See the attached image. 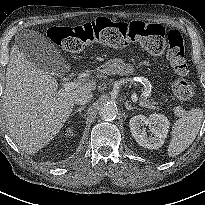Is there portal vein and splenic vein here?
<instances>
[{
	"label": "portal vein and splenic vein",
	"mask_w": 205,
	"mask_h": 205,
	"mask_svg": "<svg viewBox=\"0 0 205 205\" xmlns=\"http://www.w3.org/2000/svg\"><path fill=\"white\" fill-rule=\"evenodd\" d=\"M61 85H62V87H63L65 90H72V89L77 88L78 83H77V82H64V83H62ZM132 101H133L134 103H136V102L138 101L137 95L134 94V95L132 96Z\"/></svg>",
	"instance_id": "18ae733b"
}]
</instances>
